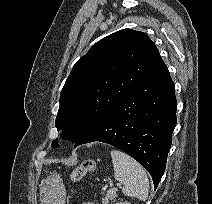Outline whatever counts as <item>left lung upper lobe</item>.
Segmentation results:
<instances>
[{"label": "left lung upper lobe", "instance_id": "1", "mask_svg": "<svg viewBox=\"0 0 212 204\" xmlns=\"http://www.w3.org/2000/svg\"><path fill=\"white\" fill-rule=\"evenodd\" d=\"M162 63L143 32L123 29L94 44L75 63L62 89L56 118L62 138L76 144ZM57 142L52 147H58Z\"/></svg>", "mask_w": 212, "mask_h": 204}]
</instances>
